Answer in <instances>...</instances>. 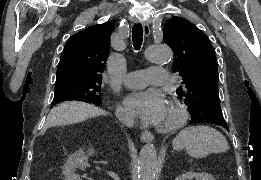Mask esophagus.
<instances>
[{"label": "esophagus", "instance_id": "34e87169", "mask_svg": "<svg viewBox=\"0 0 261 180\" xmlns=\"http://www.w3.org/2000/svg\"><path fill=\"white\" fill-rule=\"evenodd\" d=\"M143 31L144 34L146 35V37H148L150 35V28L147 22H143ZM140 139L142 142H153L154 140V135L153 133L149 132L148 130H144L141 133Z\"/></svg>", "mask_w": 261, "mask_h": 180}]
</instances>
